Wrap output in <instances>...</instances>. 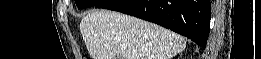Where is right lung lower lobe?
Wrapping results in <instances>:
<instances>
[{
  "label": "right lung lower lobe",
  "instance_id": "obj_1",
  "mask_svg": "<svg viewBox=\"0 0 261 59\" xmlns=\"http://www.w3.org/2000/svg\"><path fill=\"white\" fill-rule=\"evenodd\" d=\"M129 14L175 31L205 48L210 0H103L94 6Z\"/></svg>",
  "mask_w": 261,
  "mask_h": 59
}]
</instances>
